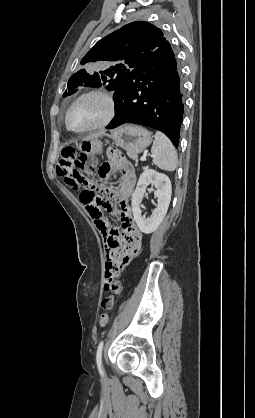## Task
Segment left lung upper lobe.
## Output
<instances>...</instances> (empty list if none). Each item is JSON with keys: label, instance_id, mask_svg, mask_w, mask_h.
Returning <instances> with one entry per match:
<instances>
[{"label": "left lung upper lobe", "instance_id": "left-lung-upper-lobe-1", "mask_svg": "<svg viewBox=\"0 0 255 418\" xmlns=\"http://www.w3.org/2000/svg\"><path fill=\"white\" fill-rule=\"evenodd\" d=\"M168 41L154 25L137 21L123 26L98 41L83 57L81 64L93 69H81L68 81L63 97L71 95L80 86L105 85L108 90L121 88L129 73L144 63Z\"/></svg>", "mask_w": 255, "mask_h": 418}]
</instances>
